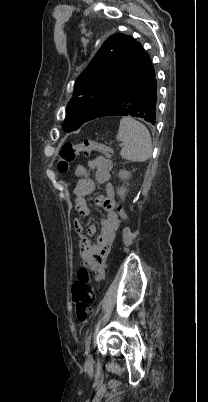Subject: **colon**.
I'll list each match as a JSON object with an SVG mask.
<instances>
[{
    "label": "colon",
    "mask_w": 208,
    "mask_h": 402,
    "mask_svg": "<svg viewBox=\"0 0 208 402\" xmlns=\"http://www.w3.org/2000/svg\"><path fill=\"white\" fill-rule=\"evenodd\" d=\"M93 151L103 153L106 157H111L112 150L95 141L85 140L79 144H73L69 141L63 142L59 149L60 160L57 163V170L60 173H67L69 165L75 162L80 153L89 154ZM118 215L127 219L124 209H118ZM72 298L76 304V317L80 324H84L90 316L97 300V291L92 287L86 267H80L78 279L72 285Z\"/></svg>",
    "instance_id": "colon-1"
}]
</instances>
